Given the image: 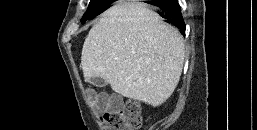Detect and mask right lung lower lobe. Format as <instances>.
<instances>
[{"label": "right lung lower lobe", "mask_w": 257, "mask_h": 130, "mask_svg": "<svg viewBox=\"0 0 257 130\" xmlns=\"http://www.w3.org/2000/svg\"><path fill=\"white\" fill-rule=\"evenodd\" d=\"M150 4L160 9V15L165 18V22L176 26L183 33L185 32V23L177 0L155 1Z\"/></svg>", "instance_id": "98d812e1"}]
</instances>
